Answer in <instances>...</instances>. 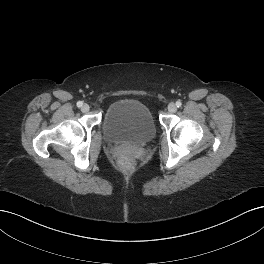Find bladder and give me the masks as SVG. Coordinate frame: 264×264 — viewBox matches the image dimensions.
<instances>
[{
	"instance_id": "bladder-1",
	"label": "bladder",
	"mask_w": 264,
	"mask_h": 264,
	"mask_svg": "<svg viewBox=\"0 0 264 264\" xmlns=\"http://www.w3.org/2000/svg\"><path fill=\"white\" fill-rule=\"evenodd\" d=\"M105 140L116 145H144L156 135V125L150 109L134 99L113 102L102 119Z\"/></svg>"
}]
</instances>
